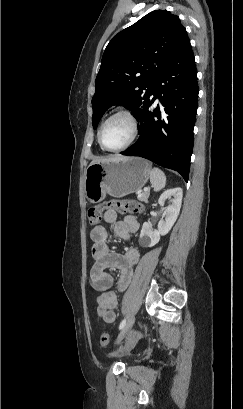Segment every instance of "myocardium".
I'll use <instances>...</instances> for the list:
<instances>
[{
  "instance_id": "f54148a6",
  "label": "myocardium",
  "mask_w": 243,
  "mask_h": 409,
  "mask_svg": "<svg viewBox=\"0 0 243 409\" xmlns=\"http://www.w3.org/2000/svg\"><path fill=\"white\" fill-rule=\"evenodd\" d=\"M117 117H124L126 118L130 124H131V136L129 138V140L122 145L121 147L112 149L107 147L102 139V131L104 126L111 120L117 118ZM139 134V122L137 117L135 116V114L127 109V108H122V109H118L115 112H113L112 114H110L107 118L104 119V121L101 123L99 130H98V134H97V138H98V142L100 144V146L102 147V149L109 151V152H120L124 149H126L127 147H129L131 144H133V142L136 140L137 136Z\"/></svg>"
}]
</instances>
